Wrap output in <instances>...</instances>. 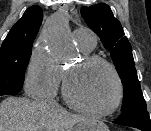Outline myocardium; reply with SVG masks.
I'll return each mask as SVG.
<instances>
[{"mask_svg":"<svg viewBox=\"0 0 151 131\" xmlns=\"http://www.w3.org/2000/svg\"><path fill=\"white\" fill-rule=\"evenodd\" d=\"M82 63H83V65H86V66L92 65V64H102L109 69V71L111 72L113 79L115 81V86H116L115 98H114L113 102L111 103V105L103 110H95V109H91V108L83 105L82 103H80L78 100H76L72 96V94L69 90V77H70L71 72L66 71L64 81H63V86H62V92H63L64 99L71 107H73L74 109L78 110L79 112L84 113L89 116L107 117V116L113 114L121 105L122 100H123V95H124L123 83H122V80H121V77H120L118 71L116 70V68L110 61H108L107 59H105L101 56H98V55L86 54L82 58Z\"/></svg>","mask_w":151,"mask_h":131,"instance_id":"1","label":"myocardium"}]
</instances>
